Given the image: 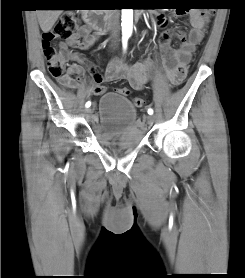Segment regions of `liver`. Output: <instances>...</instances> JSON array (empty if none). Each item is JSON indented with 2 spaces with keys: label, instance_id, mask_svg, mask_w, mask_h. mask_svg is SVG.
<instances>
[{
  "label": "liver",
  "instance_id": "6515ba94",
  "mask_svg": "<svg viewBox=\"0 0 245 278\" xmlns=\"http://www.w3.org/2000/svg\"><path fill=\"white\" fill-rule=\"evenodd\" d=\"M62 10H37V18L40 28L44 33L51 30Z\"/></svg>",
  "mask_w": 245,
  "mask_h": 278
}]
</instances>
